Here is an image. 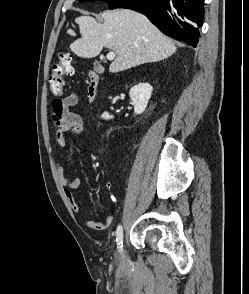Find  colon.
<instances>
[{
  "label": "colon",
  "instance_id": "obj_1",
  "mask_svg": "<svg viewBox=\"0 0 249 294\" xmlns=\"http://www.w3.org/2000/svg\"><path fill=\"white\" fill-rule=\"evenodd\" d=\"M74 68L72 66V57L69 53H62L59 61L52 68L49 77L50 91L54 96L62 95L65 86V79L73 75Z\"/></svg>",
  "mask_w": 249,
  "mask_h": 294
}]
</instances>
